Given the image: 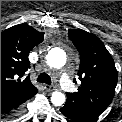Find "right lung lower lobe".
<instances>
[{
	"instance_id": "1",
	"label": "right lung lower lobe",
	"mask_w": 122,
	"mask_h": 122,
	"mask_svg": "<svg viewBox=\"0 0 122 122\" xmlns=\"http://www.w3.org/2000/svg\"><path fill=\"white\" fill-rule=\"evenodd\" d=\"M28 99L18 100L10 96L1 98V117H11L17 115L22 108V104Z\"/></svg>"
}]
</instances>
